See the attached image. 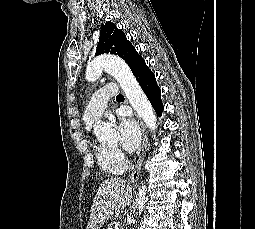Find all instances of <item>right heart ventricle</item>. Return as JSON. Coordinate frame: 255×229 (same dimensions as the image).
<instances>
[{
    "label": "right heart ventricle",
    "instance_id": "e07e8e85",
    "mask_svg": "<svg viewBox=\"0 0 255 229\" xmlns=\"http://www.w3.org/2000/svg\"><path fill=\"white\" fill-rule=\"evenodd\" d=\"M85 126L87 131H91L94 124H87L85 122ZM93 150L99 167L105 173L109 175H121L126 171L127 162L123 158H120L112 147L94 142Z\"/></svg>",
    "mask_w": 255,
    "mask_h": 229
}]
</instances>
